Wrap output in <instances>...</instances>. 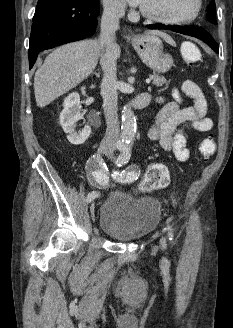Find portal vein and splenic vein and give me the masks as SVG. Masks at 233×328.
Returning a JSON list of instances; mask_svg holds the SVG:
<instances>
[{
    "label": "portal vein and splenic vein",
    "instance_id": "obj_1",
    "mask_svg": "<svg viewBox=\"0 0 233 328\" xmlns=\"http://www.w3.org/2000/svg\"><path fill=\"white\" fill-rule=\"evenodd\" d=\"M151 82V78L146 79V83L149 84Z\"/></svg>",
    "mask_w": 233,
    "mask_h": 328
}]
</instances>
